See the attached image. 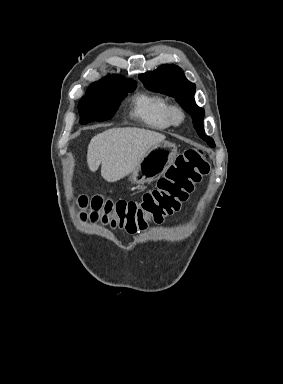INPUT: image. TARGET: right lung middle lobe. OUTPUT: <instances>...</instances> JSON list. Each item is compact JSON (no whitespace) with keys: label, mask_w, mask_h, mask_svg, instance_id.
Instances as JSON below:
<instances>
[{"label":"right lung middle lobe","mask_w":283,"mask_h":384,"mask_svg":"<svg viewBox=\"0 0 283 384\" xmlns=\"http://www.w3.org/2000/svg\"><path fill=\"white\" fill-rule=\"evenodd\" d=\"M135 88L136 83L88 88L78 106L81 124L112 119L120 102Z\"/></svg>","instance_id":"1"}]
</instances>
